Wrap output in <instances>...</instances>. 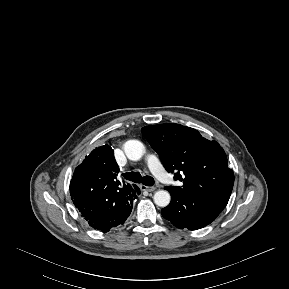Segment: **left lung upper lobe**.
Masks as SVG:
<instances>
[{
	"mask_svg": "<svg viewBox=\"0 0 289 289\" xmlns=\"http://www.w3.org/2000/svg\"><path fill=\"white\" fill-rule=\"evenodd\" d=\"M158 153L165 169L175 172L182 187L166 186L175 194L189 195L223 210L230 198L234 174L228 167L223 148L203 138L193 128L166 123L141 129Z\"/></svg>",
	"mask_w": 289,
	"mask_h": 289,
	"instance_id": "left-lung-upper-lobe-1",
	"label": "left lung upper lobe"
}]
</instances>
